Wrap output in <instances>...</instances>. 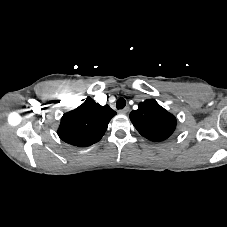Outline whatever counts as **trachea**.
<instances>
[{
    "mask_svg": "<svg viewBox=\"0 0 227 227\" xmlns=\"http://www.w3.org/2000/svg\"><path fill=\"white\" fill-rule=\"evenodd\" d=\"M125 105H126V101L124 98L121 97L117 100V103H116L117 109H123Z\"/></svg>",
    "mask_w": 227,
    "mask_h": 227,
    "instance_id": "1",
    "label": "trachea"
}]
</instances>
